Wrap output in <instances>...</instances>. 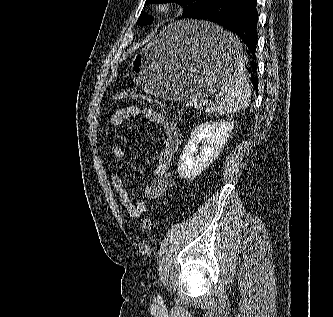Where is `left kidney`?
<instances>
[{
    "mask_svg": "<svg viewBox=\"0 0 333 317\" xmlns=\"http://www.w3.org/2000/svg\"><path fill=\"white\" fill-rule=\"evenodd\" d=\"M233 129L231 121H215L196 126L186 143L178 162V174L183 179H192L205 170L218 157ZM200 154H195L200 142Z\"/></svg>",
    "mask_w": 333,
    "mask_h": 317,
    "instance_id": "5707ae66",
    "label": "left kidney"
}]
</instances>
